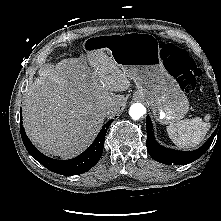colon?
Here are the masks:
<instances>
[{"label":"colon","mask_w":221,"mask_h":221,"mask_svg":"<svg viewBox=\"0 0 221 221\" xmlns=\"http://www.w3.org/2000/svg\"><path fill=\"white\" fill-rule=\"evenodd\" d=\"M162 55L166 59L168 72L177 80L180 88L185 93L194 92L201 71L193 58L186 51L170 45H163Z\"/></svg>","instance_id":"1"}]
</instances>
